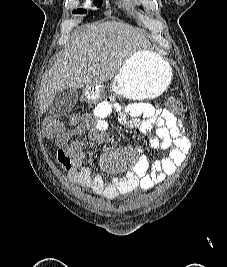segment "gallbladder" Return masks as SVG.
Wrapping results in <instances>:
<instances>
[{"mask_svg": "<svg viewBox=\"0 0 227 267\" xmlns=\"http://www.w3.org/2000/svg\"><path fill=\"white\" fill-rule=\"evenodd\" d=\"M78 98L77 89L65 88L55 95L48 112L54 116L66 115L73 109Z\"/></svg>", "mask_w": 227, "mask_h": 267, "instance_id": "1", "label": "gallbladder"}]
</instances>
